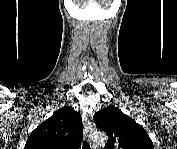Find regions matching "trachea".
I'll use <instances>...</instances> for the list:
<instances>
[{
  "mask_svg": "<svg viewBox=\"0 0 177 149\" xmlns=\"http://www.w3.org/2000/svg\"><path fill=\"white\" fill-rule=\"evenodd\" d=\"M82 149H90L89 143L84 142Z\"/></svg>",
  "mask_w": 177,
  "mask_h": 149,
  "instance_id": "1",
  "label": "trachea"
}]
</instances>
